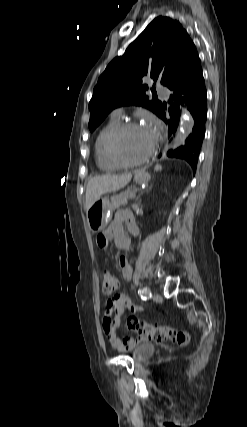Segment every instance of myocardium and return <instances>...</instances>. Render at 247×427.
<instances>
[{
    "label": "myocardium",
    "instance_id": "1",
    "mask_svg": "<svg viewBox=\"0 0 247 427\" xmlns=\"http://www.w3.org/2000/svg\"><path fill=\"white\" fill-rule=\"evenodd\" d=\"M138 127H141V125L135 121L123 122L116 128V130L113 132V134L109 139V142H108L109 155L111 159L121 167H132V166L144 164L150 160V158L153 156L155 152L156 142H154L152 147L149 149V151L139 159L128 160L122 155L120 150V142L122 137L128 130L132 128H138Z\"/></svg>",
    "mask_w": 247,
    "mask_h": 427
}]
</instances>
